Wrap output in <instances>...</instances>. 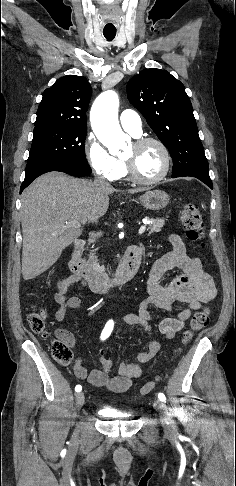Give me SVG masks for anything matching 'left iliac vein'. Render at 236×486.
<instances>
[{"label":"left iliac vein","instance_id":"left-iliac-vein-1","mask_svg":"<svg viewBox=\"0 0 236 486\" xmlns=\"http://www.w3.org/2000/svg\"><path fill=\"white\" fill-rule=\"evenodd\" d=\"M154 407L160 412L161 414V422L162 425L168 434H173L175 431V424L173 420L170 418L168 409L165 404H163L159 400L154 401Z\"/></svg>","mask_w":236,"mask_h":486}]
</instances>
